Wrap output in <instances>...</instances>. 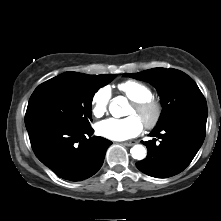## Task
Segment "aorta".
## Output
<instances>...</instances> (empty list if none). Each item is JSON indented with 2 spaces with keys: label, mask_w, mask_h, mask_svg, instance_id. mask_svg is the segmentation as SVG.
Returning <instances> with one entry per match:
<instances>
[{
  "label": "aorta",
  "mask_w": 221,
  "mask_h": 221,
  "mask_svg": "<svg viewBox=\"0 0 221 221\" xmlns=\"http://www.w3.org/2000/svg\"><path fill=\"white\" fill-rule=\"evenodd\" d=\"M123 98L116 97L110 104L109 110L113 116H119L120 114V105L122 104ZM131 156L134 159L142 160L146 156V149L142 145H134L130 150Z\"/></svg>",
  "instance_id": "1"
}]
</instances>
